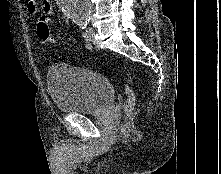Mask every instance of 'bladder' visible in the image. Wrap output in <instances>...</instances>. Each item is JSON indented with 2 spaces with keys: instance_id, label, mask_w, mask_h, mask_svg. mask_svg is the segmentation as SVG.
I'll return each mask as SVG.
<instances>
[{
  "instance_id": "bladder-1",
  "label": "bladder",
  "mask_w": 221,
  "mask_h": 174,
  "mask_svg": "<svg viewBox=\"0 0 221 174\" xmlns=\"http://www.w3.org/2000/svg\"><path fill=\"white\" fill-rule=\"evenodd\" d=\"M46 84L55 108L67 114H99L110 107L116 96L106 77L81 66L52 65Z\"/></svg>"
}]
</instances>
